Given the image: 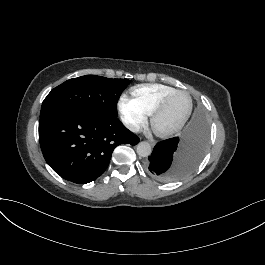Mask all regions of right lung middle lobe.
Listing matches in <instances>:
<instances>
[{"label":"right lung middle lobe","mask_w":265,"mask_h":265,"mask_svg":"<svg viewBox=\"0 0 265 265\" xmlns=\"http://www.w3.org/2000/svg\"><path fill=\"white\" fill-rule=\"evenodd\" d=\"M129 82L96 75L67 80L44 99L40 118L63 109H75L104 119L117 118V102Z\"/></svg>","instance_id":"right-lung-middle-lobe-1"}]
</instances>
